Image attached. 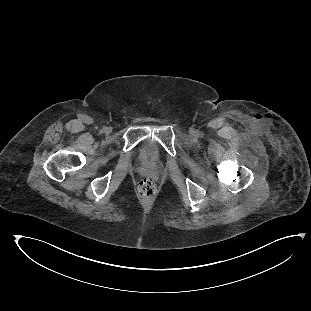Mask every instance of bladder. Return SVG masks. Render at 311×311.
Segmentation results:
<instances>
[{
  "label": "bladder",
  "instance_id": "31cf9c89",
  "mask_svg": "<svg viewBox=\"0 0 311 311\" xmlns=\"http://www.w3.org/2000/svg\"><path fill=\"white\" fill-rule=\"evenodd\" d=\"M137 159L143 167H155L159 164L158 144L152 139L142 141L137 148Z\"/></svg>",
  "mask_w": 311,
  "mask_h": 311
}]
</instances>
